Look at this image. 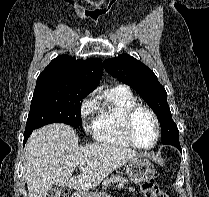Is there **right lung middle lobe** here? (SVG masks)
Returning <instances> with one entry per match:
<instances>
[{
    "mask_svg": "<svg viewBox=\"0 0 209 197\" xmlns=\"http://www.w3.org/2000/svg\"><path fill=\"white\" fill-rule=\"evenodd\" d=\"M92 91L76 84L37 83L25 132L55 122L81 127L82 99Z\"/></svg>",
    "mask_w": 209,
    "mask_h": 197,
    "instance_id": "right-lung-middle-lobe-1",
    "label": "right lung middle lobe"
}]
</instances>
